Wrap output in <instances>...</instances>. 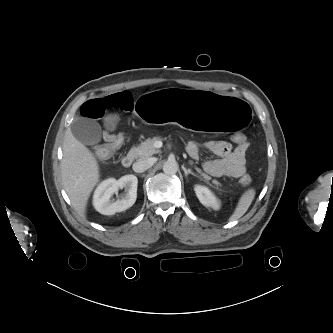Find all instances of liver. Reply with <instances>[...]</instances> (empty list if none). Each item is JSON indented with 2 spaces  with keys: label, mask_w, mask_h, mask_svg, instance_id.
<instances>
[{
  "label": "liver",
  "mask_w": 333,
  "mask_h": 333,
  "mask_svg": "<svg viewBox=\"0 0 333 333\" xmlns=\"http://www.w3.org/2000/svg\"><path fill=\"white\" fill-rule=\"evenodd\" d=\"M62 183L73 206L84 214L94 187L99 182V166L93 153L68 129L63 142Z\"/></svg>",
  "instance_id": "1"
}]
</instances>
